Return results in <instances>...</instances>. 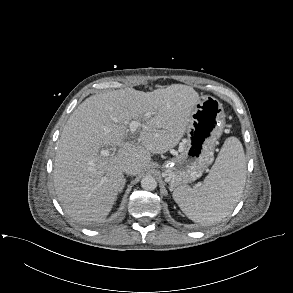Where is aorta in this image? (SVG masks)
<instances>
[{"label":"aorta","mask_w":293,"mask_h":293,"mask_svg":"<svg viewBox=\"0 0 293 293\" xmlns=\"http://www.w3.org/2000/svg\"><path fill=\"white\" fill-rule=\"evenodd\" d=\"M141 187L147 191H153L157 187V181L152 175H145L141 180Z\"/></svg>","instance_id":"aorta-1"}]
</instances>
